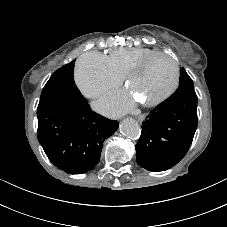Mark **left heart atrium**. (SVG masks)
I'll return each mask as SVG.
<instances>
[{
  "mask_svg": "<svg viewBox=\"0 0 227 227\" xmlns=\"http://www.w3.org/2000/svg\"><path fill=\"white\" fill-rule=\"evenodd\" d=\"M134 104L135 98L130 92L119 90L105 95L97 103V107L108 115H120L131 110Z\"/></svg>",
  "mask_w": 227,
  "mask_h": 227,
  "instance_id": "1",
  "label": "left heart atrium"
}]
</instances>
